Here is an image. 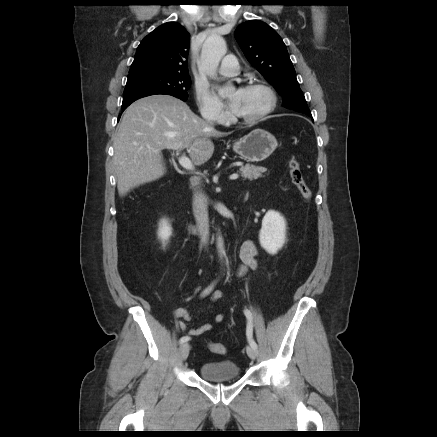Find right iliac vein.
<instances>
[{
  "instance_id": "63e3f726",
  "label": "right iliac vein",
  "mask_w": 437,
  "mask_h": 437,
  "mask_svg": "<svg viewBox=\"0 0 437 437\" xmlns=\"http://www.w3.org/2000/svg\"><path fill=\"white\" fill-rule=\"evenodd\" d=\"M190 351V346L188 343H183L179 348V355L181 360H186Z\"/></svg>"
}]
</instances>
